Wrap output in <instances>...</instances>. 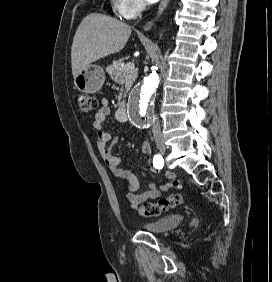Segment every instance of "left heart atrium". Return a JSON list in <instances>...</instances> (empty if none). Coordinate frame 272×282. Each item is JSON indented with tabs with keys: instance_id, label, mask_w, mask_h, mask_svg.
Segmentation results:
<instances>
[{
	"instance_id": "obj_1",
	"label": "left heart atrium",
	"mask_w": 272,
	"mask_h": 282,
	"mask_svg": "<svg viewBox=\"0 0 272 282\" xmlns=\"http://www.w3.org/2000/svg\"><path fill=\"white\" fill-rule=\"evenodd\" d=\"M150 2H152V3H154V2H156V1H158V0H149Z\"/></svg>"
}]
</instances>
